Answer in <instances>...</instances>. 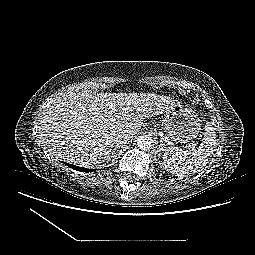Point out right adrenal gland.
<instances>
[{
	"instance_id": "obj_1",
	"label": "right adrenal gland",
	"mask_w": 255,
	"mask_h": 255,
	"mask_svg": "<svg viewBox=\"0 0 255 255\" xmlns=\"http://www.w3.org/2000/svg\"><path fill=\"white\" fill-rule=\"evenodd\" d=\"M120 147H121V145H116L115 146L114 150L112 151L111 157L116 158L118 150H119Z\"/></svg>"
}]
</instances>
